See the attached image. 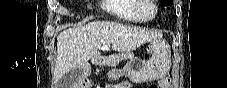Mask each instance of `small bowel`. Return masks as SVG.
Listing matches in <instances>:
<instances>
[{
	"label": "small bowel",
	"instance_id": "c3829d8e",
	"mask_svg": "<svg viewBox=\"0 0 227 88\" xmlns=\"http://www.w3.org/2000/svg\"><path fill=\"white\" fill-rule=\"evenodd\" d=\"M160 84L163 85V88H166L170 85V80L163 79ZM115 87L116 88H128L129 84L127 82H120V83L116 84Z\"/></svg>",
	"mask_w": 227,
	"mask_h": 88
}]
</instances>
